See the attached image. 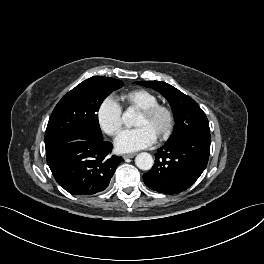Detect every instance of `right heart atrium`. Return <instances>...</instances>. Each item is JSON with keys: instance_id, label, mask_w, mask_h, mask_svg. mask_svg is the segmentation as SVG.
<instances>
[{"instance_id": "obj_1", "label": "right heart atrium", "mask_w": 264, "mask_h": 264, "mask_svg": "<svg viewBox=\"0 0 264 264\" xmlns=\"http://www.w3.org/2000/svg\"><path fill=\"white\" fill-rule=\"evenodd\" d=\"M96 118L106 134L116 137L122 129V108L113 97H106L98 106Z\"/></svg>"}]
</instances>
